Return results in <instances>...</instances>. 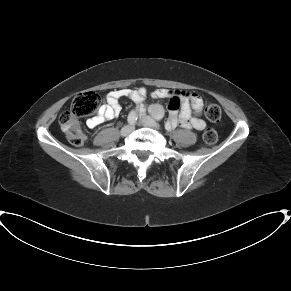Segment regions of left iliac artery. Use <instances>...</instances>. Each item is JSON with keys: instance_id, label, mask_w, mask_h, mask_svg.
I'll return each instance as SVG.
<instances>
[{"instance_id": "left-iliac-artery-1", "label": "left iliac artery", "mask_w": 291, "mask_h": 291, "mask_svg": "<svg viewBox=\"0 0 291 291\" xmlns=\"http://www.w3.org/2000/svg\"><path fill=\"white\" fill-rule=\"evenodd\" d=\"M161 117L157 116L156 119L159 120Z\"/></svg>"}]
</instances>
